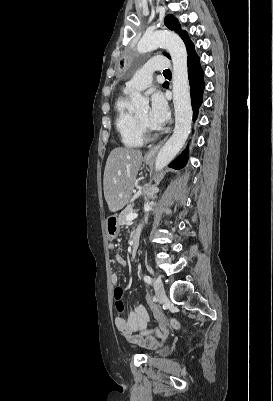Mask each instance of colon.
<instances>
[{
    "label": "colon",
    "instance_id": "1",
    "mask_svg": "<svg viewBox=\"0 0 273 401\" xmlns=\"http://www.w3.org/2000/svg\"><path fill=\"white\" fill-rule=\"evenodd\" d=\"M114 298H115L116 313L119 317H123V314L125 312V305L123 302V288L122 287L115 288Z\"/></svg>",
    "mask_w": 273,
    "mask_h": 401
}]
</instances>
